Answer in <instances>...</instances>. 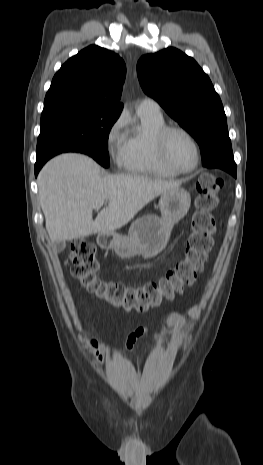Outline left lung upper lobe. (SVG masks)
Masks as SVG:
<instances>
[{
	"instance_id": "obj_1",
	"label": "left lung upper lobe",
	"mask_w": 263,
	"mask_h": 465,
	"mask_svg": "<svg viewBox=\"0 0 263 465\" xmlns=\"http://www.w3.org/2000/svg\"><path fill=\"white\" fill-rule=\"evenodd\" d=\"M137 73L144 92L195 138L203 161L235 164L221 99L193 58L167 48L142 56Z\"/></svg>"
}]
</instances>
